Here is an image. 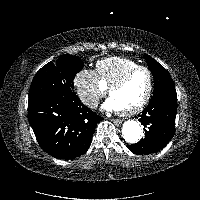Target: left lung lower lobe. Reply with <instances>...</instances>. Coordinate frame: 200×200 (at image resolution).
I'll return each mask as SVG.
<instances>
[{
    "mask_svg": "<svg viewBox=\"0 0 200 200\" xmlns=\"http://www.w3.org/2000/svg\"><path fill=\"white\" fill-rule=\"evenodd\" d=\"M176 112V90L154 93L148 106L138 115L139 121L146 128L145 137L136 144L128 145V149L144 155L164 148L175 134Z\"/></svg>",
    "mask_w": 200,
    "mask_h": 200,
    "instance_id": "left-lung-lower-lobe-1",
    "label": "left lung lower lobe"
}]
</instances>
